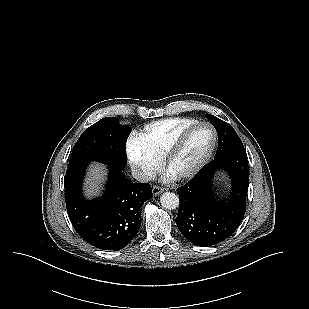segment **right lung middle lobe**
I'll return each instance as SVG.
<instances>
[{"label":"right lung middle lobe","mask_w":309,"mask_h":309,"mask_svg":"<svg viewBox=\"0 0 309 309\" xmlns=\"http://www.w3.org/2000/svg\"><path fill=\"white\" fill-rule=\"evenodd\" d=\"M130 133L127 125H119L116 118L106 117L87 128L76 142L69 167L100 161L123 169L127 163L126 141Z\"/></svg>","instance_id":"dd1d6c3e"}]
</instances>
